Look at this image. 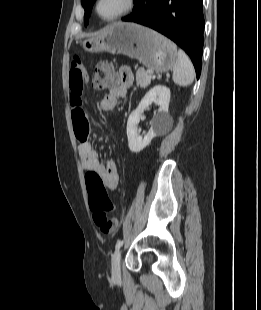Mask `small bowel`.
Wrapping results in <instances>:
<instances>
[{
  "mask_svg": "<svg viewBox=\"0 0 261 310\" xmlns=\"http://www.w3.org/2000/svg\"><path fill=\"white\" fill-rule=\"evenodd\" d=\"M86 81L85 68L79 58H74L70 65L69 89L70 105L72 109V120L75 136L79 141L78 153L82 166L85 170L97 172L103 179L109 190H115L119 184L118 170L113 161L103 165L98 157L97 151L93 148L88 139L89 125L86 113L82 105V93ZM133 83V74L127 67L119 72V83L113 86L109 93L101 100V108L104 111H111L115 108L119 99L127 95Z\"/></svg>",
  "mask_w": 261,
  "mask_h": 310,
  "instance_id": "small-bowel-1",
  "label": "small bowel"
}]
</instances>
